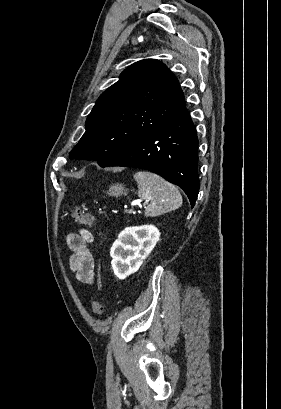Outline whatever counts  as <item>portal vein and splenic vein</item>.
<instances>
[{
  "instance_id": "18ae733b",
  "label": "portal vein and splenic vein",
  "mask_w": 281,
  "mask_h": 409,
  "mask_svg": "<svg viewBox=\"0 0 281 409\" xmlns=\"http://www.w3.org/2000/svg\"><path fill=\"white\" fill-rule=\"evenodd\" d=\"M124 213H125V214H132V213H134V210H132V209H125V210H124Z\"/></svg>"
}]
</instances>
